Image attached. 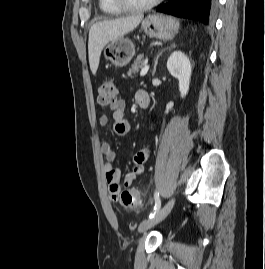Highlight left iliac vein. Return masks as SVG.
<instances>
[{"label":"left iliac vein","mask_w":265,"mask_h":269,"mask_svg":"<svg viewBox=\"0 0 265 269\" xmlns=\"http://www.w3.org/2000/svg\"><path fill=\"white\" fill-rule=\"evenodd\" d=\"M174 203L175 199L174 198L170 199L161 209H159V211L152 218H149L148 220L142 222L138 229L139 232L144 233L150 228L160 223L161 221H163L171 212Z\"/></svg>","instance_id":"4c4485c4"}]
</instances>
